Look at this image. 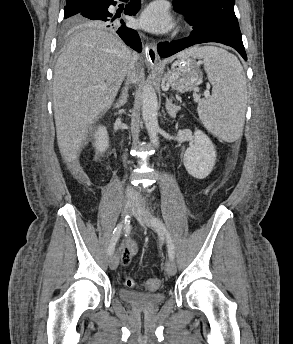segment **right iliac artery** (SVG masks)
<instances>
[{"mask_svg":"<svg viewBox=\"0 0 293 344\" xmlns=\"http://www.w3.org/2000/svg\"><path fill=\"white\" fill-rule=\"evenodd\" d=\"M128 218L129 216H126L125 218V223L126 222H129L128 221ZM122 228H123V223H119L116 228L114 229L113 231V236L111 238V241H110V244H109V247H108V254L111 256L113 253H114V250H115V245L120 237V234H121V231H122Z\"/></svg>","mask_w":293,"mask_h":344,"instance_id":"82829eb1","label":"right iliac artery"}]
</instances>
